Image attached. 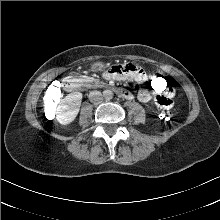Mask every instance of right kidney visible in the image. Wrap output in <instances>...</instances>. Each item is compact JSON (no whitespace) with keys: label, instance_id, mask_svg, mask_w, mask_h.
I'll return each mask as SVG.
<instances>
[{"label":"right kidney","instance_id":"ca27d5eb","mask_svg":"<svg viewBox=\"0 0 220 220\" xmlns=\"http://www.w3.org/2000/svg\"><path fill=\"white\" fill-rule=\"evenodd\" d=\"M81 100L82 93L80 92L68 94L59 103L56 111V120L62 125H67L73 122L79 112Z\"/></svg>","mask_w":220,"mask_h":220}]
</instances>
